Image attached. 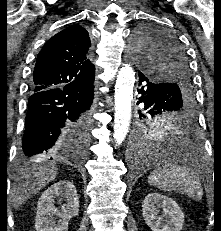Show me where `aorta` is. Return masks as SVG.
Here are the masks:
<instances>
[{"mask_svg": "<svg viewBox=\"0 0 221 231\" xmlns=\"http://www.w3.org/2000/svg\"><path fill=\"white\" fill-rule=\"evenodd\" d=\"M134 82L135 72L129 64H125L118 72L114 97L115 113L113 137L115 142L119 145L125 140L131 123ZM146 138L147 137L143 138V141H145Z\"/></svg>", "mask_w": 221, "mask_h": 231, "instance_id": "obj_1", "label": "aorta"}]
</instances>
